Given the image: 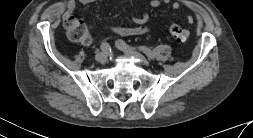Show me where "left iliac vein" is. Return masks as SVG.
<instances>
[{
	"mask_svg": "<svg viewBox=\"0 0 253 138\" xmlns=\"http://www.w3.org/2000/svg\"><path fill=\"white\" fill-rule=\"evenodd\" d=\"M124 53H126L129 56H133L141 61V63L146 64L147 60L146 58L139 52L131 49H121Z\"/></svg>",
	"mask_w": 253,
	"mask_h": 138,
	"instance_id": "1",
	"label": "left iliac vein"
}]
</instances>
